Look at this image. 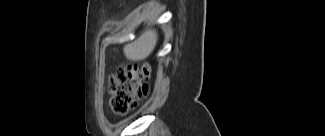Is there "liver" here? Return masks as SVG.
<instances>
[{
	"label": "liver",
	"mask_w": 325,
	"mask_h": 136,
	"mask_svg": "<svg viewBox=\"0 0 325 136\" xmlns=\"http://www.w3.org/2000/svg\"><path fill=\"white\" fill-rule=\"evenodd\" d=\"M158 34L154 29L143 32L134 42L124 46L123 52L127 59L140 61L147 58L154 50Z\"/></svg>",
	"instance_id": "obj_1"
}]
</instances>
